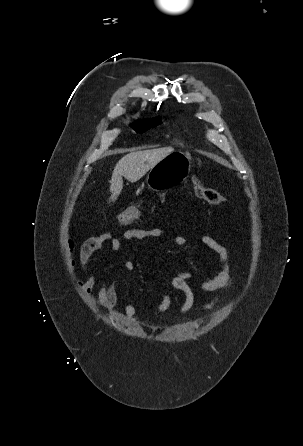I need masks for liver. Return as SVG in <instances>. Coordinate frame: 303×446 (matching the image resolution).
I'll return each mask as SVG.
<instances>
[{
  "instance_id": "1",
  "label": "liver",
  "mask_w": 303,
  "mask_h": 446,
  "mask_svg": "<svg viewBox=\"0 0 303 446\" xmlns=\"http://www.w3.org/2000/svg\"><path fill=\"white\" fill-rule=\"evenodd\" d=\"M172 147L133 151L122 157L116 164L110 180V201H115L123 188L125 177L130 182L142 178L154 165L172 153Z\"/></svg>"
}]
</instances>
